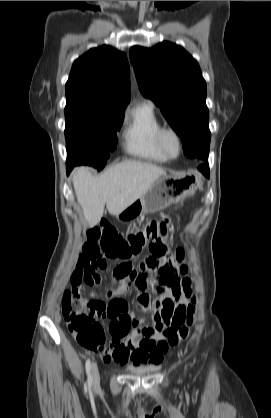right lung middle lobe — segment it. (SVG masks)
<instances>
[{
	"label": "right lung middle lobe",
	"instance_id": "dd1d6c3e",
	"mask_svg": "<svg viewBox=\"0 0 271 418\" xmlns=\"http://www.w3.org/2000/svg\"><path fill=\"white\" fill-rule=\"evenodd\" d=\"M123 119V111L66 105L67 164H88L102 169L109 157L108 152L116 148V132Z\"/></svg>",
	"mask_w": 271,
	"mask_h": 418
}]
</instances>
